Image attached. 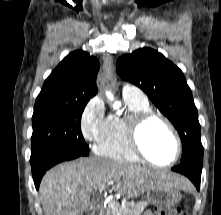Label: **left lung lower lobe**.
<instances>
[{
	"mask_svg": "<svg viewBox=\"0 0 221 215\" xmlns=\"http://www.w3.org/2000/svg\"><path fill=\"white\" fill-rule=\"evenodd\" d=\"M202 161L197 160H188L182 162L176 167H173L172 170L178 173H181L188 177L196 186L197 190L200 188L201 172H202Z\"/></svg>",
	"mask_w": 221,
	"mask_h": 215,
	"instance_id": "left-lung-lower-lobe-1",
	"label": "left lung lower lobe"
}]
</instances>
